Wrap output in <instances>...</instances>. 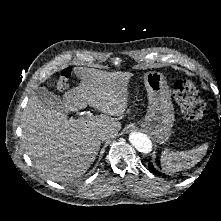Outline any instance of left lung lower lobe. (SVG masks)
Wrapping results in <instances>:
<instances>
[{
    "label": "left lung lower lobe",
    "mask_w": 221,
    "mask_h": 221,
    "mask_svg": "<svg viewBox=\"0 0 221 221\" xmlns=\"http://www.w3.org/2000/svg\"><path fill=\"white\" fill-rule=\"evenodd\" d=\"M148 167L150 168V170H152L153 172H156L155 168L153 167L152 163L148 164Z\"/></svg>",
    "instance_id": "0a47b994"
}]
</instances>
